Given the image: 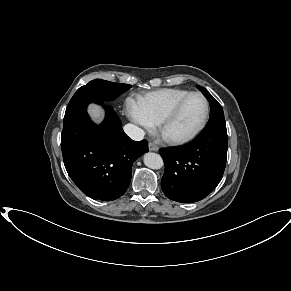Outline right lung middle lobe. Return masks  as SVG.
<instances>
[{"instance_id": "1", "label": "right lung middle lobe", "mask_w": 291, "mask_h": 291, "mask_svg": "<svg viewBox=\"0 0 291 291\" xmlns=\"http://www.w3.org/2000/svg\"><path fill=\"white\" fill-rule=\"evenodd\" d=\"M131 88V85L96 79L80 87L71 98L65 112L64 120H77L86 114L89 103L102 105Z\"/></svg>"}]
</instances>
